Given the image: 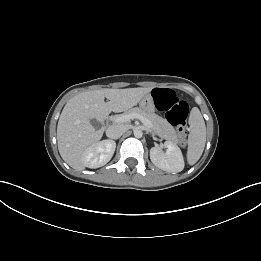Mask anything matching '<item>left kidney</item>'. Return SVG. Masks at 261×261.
<instances>
[{
    "label": "left kidney",
    "mask_w": 261,
    "mask_h": 261,
    "mask_svg": "<svg viewBox=\"0 0 261 261\" xmlns=\"http://www.w3.org/2000/svg\"><path fill=\"white\" fill-rule=\"evenodd\" d=\"M165 147V153L156 147L150 149L152 163L167 172H181L184 168V158L180 148L172 142H165Z\"/></svg>",
    "instance_id": "obj_1"
}]
</instances>
